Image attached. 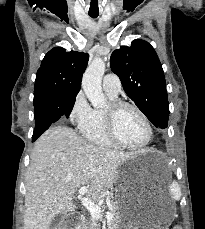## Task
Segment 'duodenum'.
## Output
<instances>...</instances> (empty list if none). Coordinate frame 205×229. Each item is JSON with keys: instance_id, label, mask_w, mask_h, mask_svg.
Returning <instances> with one entry per match:
<instances>
[{"instance_id": "410a0bca", "label": "duodenum", "mask_w": 205, "mask_h": 229, "mask_svg": "<svg viewBox=\"0 0 205 229\" xmlns=\"http://www.w3.org/2000/svg\"><path fill=\"white\" fill-rule=\"evenodd\" d=\"M80 220H81V217H80V216H78V217H77V219H76V223H79V222H80Z\"/></svg>"}]
</instances>
